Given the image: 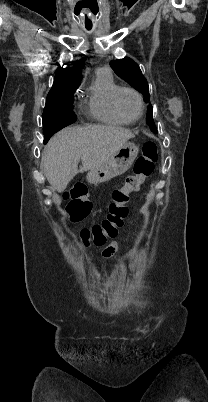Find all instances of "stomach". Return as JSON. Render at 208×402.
I'll return each instance as SVG.
<instances>
[{
	"label": "stomach",
	"instance_id": "stomach-1",
	"mask_svg": "<svg viewBox=\"0 0 208 402\" xmlns=\"http://www.w3.org/2000/svg\"><path fill=\"white\" fill-rule=\"evenodd\" d=\"M138 152V146H135L132 142H126L120 150H117L101 166H97V168H93L88 172L86 176L87 182L89 184H102V182H108L111 178L125 174L131 168L135 158H137Z\"/></svg>",
	"mask_w": 208,
	"mask_h": 402
}]
</instances>
